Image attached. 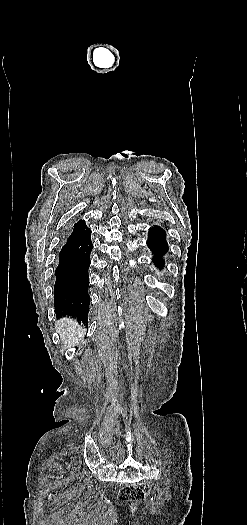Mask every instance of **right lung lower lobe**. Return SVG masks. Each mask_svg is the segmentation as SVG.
Returning a JSON list of instances; mask_svg holds the SVG:
<instances>
[{"mask_svg": "<svg viewBox=\"0 0 247 525\" xmlns=\"http://www.w3.org/2000/svg\"><path fill=\"white\" fill-rule=\"evenodd\" d=\"M91 230L85 225L73 230L59 253L55 271L54 305L56 315H67L87 323Z\"/></svg>", "mask_w": 247, "mask_h": 525, "instance_id": "right-lung-lower-lobe-1", "label": "right lung lower lobe"}]
</instances>
